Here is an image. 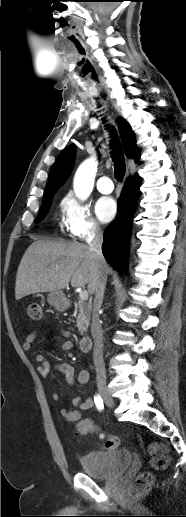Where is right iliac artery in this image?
Segmentation results:
<instances>
[{"label": "right iliac artery", "instance_id": "obj_1", "mask_svg": "<svg viewBox=\"0 0 186 517\" xmlns=\"http://www.w3.org/2000/svg\"><path fill=\"white\" fill-rule=\"evenodd\" d=\"M94 402H95L97 409L99 411H102L104 408V405H103V400L100 395L97 394L94 396Z\"/></svg>", "mask_w": 186, "mask_h": 517}]
</instances>
